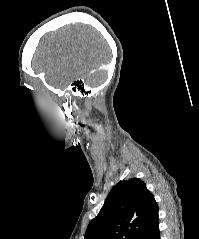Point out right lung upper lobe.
<instances>
[{
    "mask_svg": "<svg viewBox=\"0 0 199 239\" xmlns=\"http://www.w3.org/2000/svg\"><path fill=\"white\" fill-rule=\"evenodd\" d=\"M158 218V205L139 178L123 180L110 191L84 239H138Z\"/></svg>",
    "mask_w": 199,
    "mask_h": 239,
    "instance_id": "1",
    "label": "right lung upper lobe"
}]
</instances>
